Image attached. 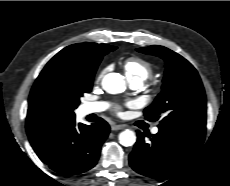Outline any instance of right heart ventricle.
I'll use <instances>...</instances> for the list:
<instances>
[{
	"label": "right heart ventricle",
	"instance_id": "e07e8e85",
	"mask_svg": "<svg viewBox=\"0 0 230 186\" xmlns=\"http://www.w3.org/2000/svg\"><path fill=\"white\" fill-rule=\"evenodd\" d=\"M123 67L128 79H138L143 82L152 74L151 64L138 56L127 58Z\"/></svg>",
	"mask_w": 230,
	"mask_h": 186
}]
</instances>
